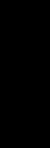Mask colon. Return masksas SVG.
Masks as SVG:
<instances>
[{
    "label": "colon",
    "instance_id": "colon-1",
    "mask_svg": "<svg viewBox=\"0 0 50 148\" xmlns=\"http://www.w3.org/2000/svg\"><path fill=\"white\" fill-rule=\"evenodd\" d=\"M42 67V65H41ZM14 80H16L19 84L25 86V87H29L31 86L33 83L39 81L40 79L43 78V73L42 71L39 69L36 72H32V71H21V72H17V73H13L11 76Z\"/></svg>",
    "mask_w": 50,
    "mask_h": 148
}]
</instances>
